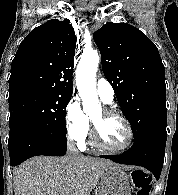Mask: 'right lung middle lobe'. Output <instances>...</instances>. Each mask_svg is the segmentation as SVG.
<instances>
[{
  "label": "right lung middle lobe",
  "mask_w": 178,
  "mask_h": 195,
  "mask_svg": "<svg viewBox=\"0 0 178 195\" xmlns=\"http://www.w3.org/2000/svg\"><path fill=\"white\" fill-rule=\"evenodd\" d=\"M72 94L31 90L9 96V127L58 126L66 133L65 109Z\"/></svg>",
  "instance_id": "1"
}]
</instances>
